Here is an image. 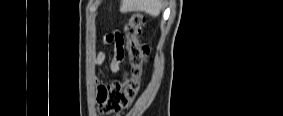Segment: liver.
<instances>
[{
  "label": "liver",
  "instance_id": "liver-1",
  "mask_svg": "<svg viewBox=\"0 0 283 116\" xmlns=\"http://www.w3.org/2000/svg\"><path fill=\"white\" fill-rule=\"evenodd\" d=\"M164 0H122L120 11L128 12H145L151 16H158L163 7Z\"/></svg>",
  "mask_w": 283,
  "mask_h": 116
}]
</instances>
